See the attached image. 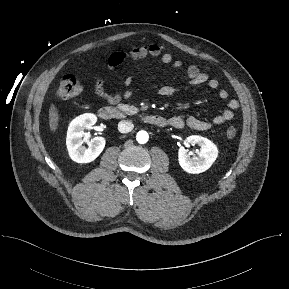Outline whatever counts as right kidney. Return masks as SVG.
Listing matches in <instances>:
<instances>
[{
  "instance_id": "1",
  "label": "right kidney",
  "mask_w": 289,
  "mask_h": 289,
  "mask_svg": "<svg viewBox=\"0 0 289 289\" xmlns=\"http://www.w3.org/2000/svg\"><path fill=\"white\" fill-rule=\"evenodd\" d=\"M97 121L94 114H83L71 121L67 131L66 145L71 160L77 163H90L94 161L103 151L105 147V139L103 137H94L87 140L83 137L87 136L85 130L90 129ZM86 141L88 146H83Z\"/></svg>"
}]
</instances>
